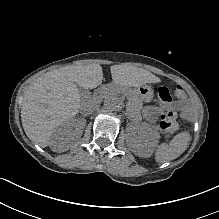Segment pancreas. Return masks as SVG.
<instances>
[{
    "label": "pancreas",
    "mask_w": 219,
    "mask_h": 219,
    "mask_svg": "<svg viewBox=\"0 0 219 219\" xmlns=\"http://www.w3.org/2000/svg\"><path fill=\"white\" fill-rule=\"evenodd\" d=\"M104 90V96L107 99H114L117 95L119 96H126L128 102V116L131 119L139 120L142 117L141 107L142 99L139 94L135 93L134 91H127L126 87H118L117 85L113 84L111 86L106 87Z\"/></svg>",
    "instance_id": "cf45deb5"
}]
</instances>
